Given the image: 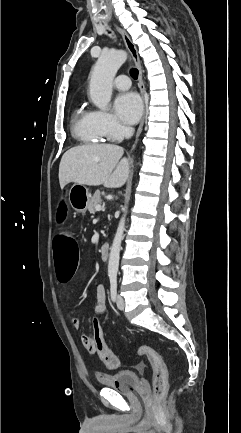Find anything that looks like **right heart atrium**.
<instances>
[{
    "instance_id": "1",
    "label": "right heart atrium",
    "mask_w": 241,
    "mask_h": 433,
    "mask_svg": "<svg viewBox=\"0 0 241 433\" xmlns=\"http://www.w3.org/2000/svg\"><path fill=\"white\" fill-rule=\"evenodd\" d=\"M95 114L97 126L107 138L115 140L125 133V127L112 114L105 111H96Z\"/></svg>"
}]
</instances>
